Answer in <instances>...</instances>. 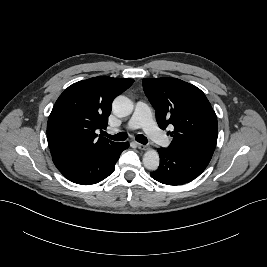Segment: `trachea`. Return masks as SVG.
<instances>
[{
  "label": "trachea",
  "mask_w": 267,
  "mask_h": 267,
  "mask_svg": "<svg viewBox=\"0 0 267 267\" xmlns=\"http://www.w3.org/2000/svg\"><path fill=\"white\" fill-rule=\"evenodd\" d=\"M103 135H105L106 137H108L114 141H124L128 137L127 133H125V132H120L116 135H110V134L104 132ZM136 141L141 143V144H147V142H148L147 138L142 134H138L136 136Z\"/></svg>",
  "instance_id": "trachea-1"
}]
</instances>
